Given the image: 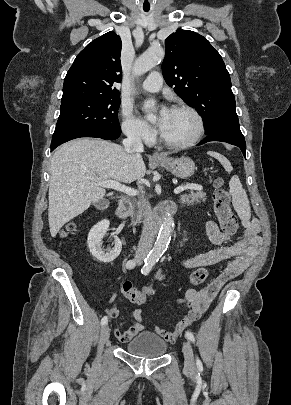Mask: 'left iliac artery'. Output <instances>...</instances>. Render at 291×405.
I'll return each instance as SVG.
<instances>
[{"mask_svg": "<svg viewBox=\"0 0 291 405\" xmlns=\"http://www.w3.org/2000/svg\"><path fill=\"white\" fill-rule=\"evenodd\" d=\"M154 265H155V262H152V261L146 262L145 265H144V266L142 267V269H141V273L144 274V275H147V274L151 271V269L153 268ZM185 336H186V338H187L188 340H190L191 342H194V341H195V337H194V335H193L192 332L187 331V332L185 333ZM196 364H197V366H201V365H202V364H201V361H200L198 358L196 359Z\"/></svg>", "mask_w": 291, "mask_h": 405, "instance_id": "1", "label": "left iliac artery"}]
</instances>
